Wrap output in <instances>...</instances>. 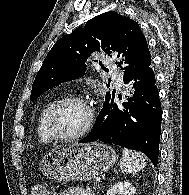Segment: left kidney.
Wrapping results in <instances>:
<instances>
[{
    "instance_id": "5707ae66",
    "label": "left kidney",
    "mask_w": 189,
    "mask_h": 195,
    "mask_svg": "<svg viewBox=\"0 0 189 195\" xmlns=\"http://www.w3.org/2000/svg\"><path fill=\"white\" fill-rule=\"evenodd\" d=\"M136 189L129 182H118L111 186L106 195H135Z\"/></svg>"
}]
</instances>
